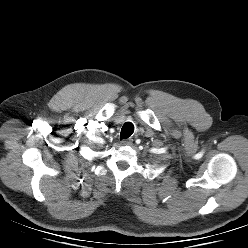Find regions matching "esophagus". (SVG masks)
Returning a JSON list of instances; mask_svg holds the SVG:
<instances>
[{
    "mask_svg": "<svg viewBox=\"0 0 248 248\" xmlns=\"http://www.w3.org/2000/svg\"><path fill=\"white\" fill-rule=\"evenodd\" d=\"M132 143H133V140L132 139H127V140H123L122 141V144L123 145H127V146L132 145Z\"/></svg>",
    "mask_w": 248,
    "mask_h": 248,
    "instance_id": "34e87169",
    "label": "esophagus"
}]
</instances>
